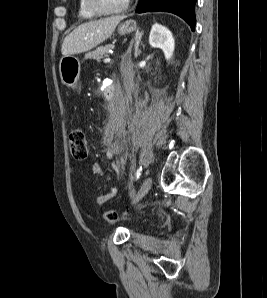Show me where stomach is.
<instances>
[{"mask_svg":"<svg viewBox=\"0 0 267 298\" xmlns=\"http://www.w3.org/2000/svg\"><path fill=\"white\" fill-rule=\"evenodd\" d=\"M137 30V24L134 20H127L118 27L120 35H126ZM60 76L64 85L74 88L77 84L80 72V63L73 56L62 57L60 64Z\"/></svg>","mask_w":267,"mask_h":298,"instance_id":"obj_1","label":"stomach"}]
</instances>
